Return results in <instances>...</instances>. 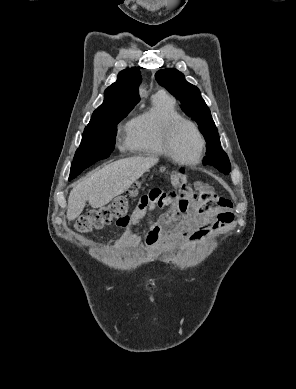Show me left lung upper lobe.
I'll list each match as a JSON object with an SVG mask.
<instances>
[{
  "label": "left lung upper lobe",
  "instance_id": "1",
  "mask_svg": "<svg viewBox=\"0 0 296 389\" xmlns=\"http://www.w3.org/2000/svg\"><path fill=\"white\" fill-rule=\"evenodd\" d=\"M155 77L161 86L180 100L183 112L198 124L207 142V155L203 164L212 165L224 174H228L231 170L229 158L221 149L218 130L199 89L187 82L184 75L174 68L160 70Z\"/></svg>",
  "mask_w": 296,
  "mask_h": 389
}]
</instances>
